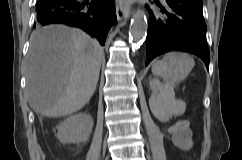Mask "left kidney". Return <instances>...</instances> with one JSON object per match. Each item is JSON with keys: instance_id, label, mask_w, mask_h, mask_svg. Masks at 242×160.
I'll return each instance as SVG.
<instances>
[{"instance_id": "5707ae66", "label": "left kidney", "mask_w": 242, "mask_h": 160, "mask_svg": "<svg viewBox=\"0 0 242 160\" xmlns=\"http://www.w3.org/2000/svg\"><path fill=\"white\" fill-rule=\"evenodd\" d=\"M150 107L153 115L162 123H166L172 117V113L169 112L165 105L158 102L156 98H151ZM175 113H183L185 111V103L183 101H176Z\"/></svg>"}]
</instances>
